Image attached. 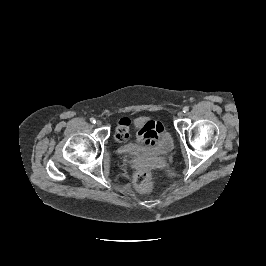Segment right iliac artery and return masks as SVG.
Masks as SVG:
<instances>
[{
    "label": "right iliac artery",
    "instance_id": "1",
    "mask_svg": "<svg viewBox=\"0 0 266 266\" xmlns=\"http://www.w3.org/2000/svg\"><path fill=\"white\" fill-rule=\"evenodd\" d=\"M90 122H91V123H95L96 121H95L94 118H90Z\"/></svg>",
    "mask_w": 266,
    "mask_h": 266
}]
</instances>
